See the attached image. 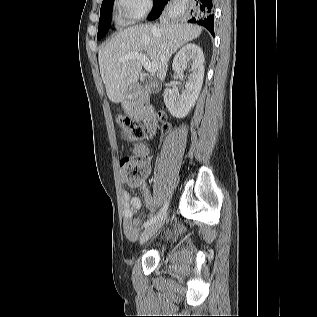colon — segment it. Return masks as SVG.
I'll return each mask as SVG.
<instances>
[{
    "mask_svg": "<svg viewBox=\"0 0 317 317\" xmlns=\"http://www.w3.org/2000/svg\"><path fill=\"white\" fill-rule=\"evenodd\" d=\"M158 118L164 123L165 114L163 112L158 113ZM119 124L124 136L131 141H141L145 138L144 129L136 123L132 118L120 117ZM167 125H164V129H167ZM120 165L122 170L126 174V178L129 182H138L142 180L149 172V163L146 159L139 156H125L121 159Z\"/></svg>",
    "mask_w": 317,
    "mask_h": 317,
    "instance_id": "colon-1",
    "label": "colon"
}]
</instances>
